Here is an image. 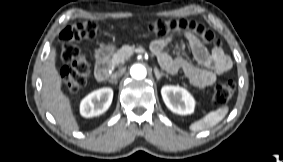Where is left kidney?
<instances>
[{"instance_id": "obj_1", "label": "left kidney", "mask_w": 283, "mask_h": 162, "mask_svg": "<svg viewBox=\"0 0 283 162\" xmlns=\"http://www.w3.org/2000/svg\"><path fill=\"white\" fill-rule=\"evenodd\" d=\"M165 105L173 113L188 115L194 112L195 101L192 95L180 86L165 85L161 89Z\"/></svg>"}]
</instances>
